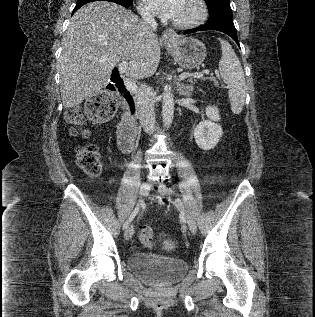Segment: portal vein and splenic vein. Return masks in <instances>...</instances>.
I'll return each instance as SVG.
<instances>
[{"instance_id":"18ae733b","label":"portal vein and splenic vein","mask_w":315,"mask_h":317,"mask_svg":"<svg viewBox=\"0 0 315 317\" xmlns=\"http://www.w3.org/2000/svg\"><path fill=\"white\" fill-rule=\"evenodd\" d=\"M127 67H128V63L126 61H122L119 64V67H118L119 72L121 74L125 73L126 70H127ZM203 74L208 75L209 74V70H204L203 72H195V73H192V74L182 73V74L179 75V80H184L187 77L201 78V77H203ZM124 83H125V86L127 87L128 90H130V91H132L134 93L137 92V85L132 80H130L129 78H124Z\"/></svg>"}]
</instances>
